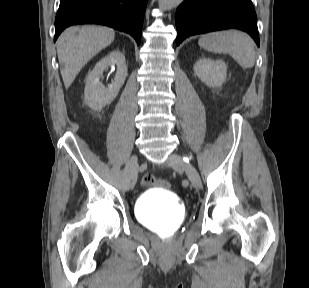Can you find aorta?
<instances>
[{
  "label": "aorta",
  "instance_id": "1",
  "mask_svg": "<svg viewBox=\"0 0 309 288\" xmlns=\"http://www.w3.org/2000/svg\"><path fill=\"white\" fill-rule=\"evenodd\" d=\"M183 0H159L158 6L161 10H171L182 3Z\"/></svg>",
  "mask_w": 309,
  "mask_h": 288
}]
</instances>
